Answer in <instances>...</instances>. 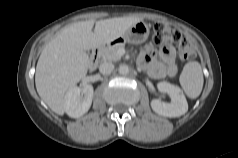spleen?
<instances>
[{"mask_svg": "<svg viewBox=\"0 0 238 158\" xmlns=\"http://www.w3.org/2000/svg\"><path fill=\"white\" fill-rule=\"evenodd\" d=\"M203 82L201 65L196 61L188 62L180 75V84L186 95L190 98H197L202 91Z\"/></svg>", "mask_w": 238, "mask_h": 158, "instance_id": "spleen-1", "label": "spleen"}]
</instances>
